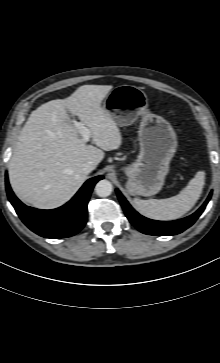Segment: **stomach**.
Returning <instances> with one entry per match:
<instances>
[{"mask_svg": "<svg viewBox=\"0 0 220 363\" xmlns=\"http://www.w3.org/2000/svg\"><path fill=\"white\" fill-rule=\"evenodd\" d=\"M102 108L118 126L133 124L139 117L140 153L130 165L122 168L128 177L126 188L132 195L152 196L163 187L170 161L177 148L174 129L163 117L148 110V98L143 90L132 85H120L106 96Z\"/></svg>", "mask_w": 220, "mask_h": 363, "instance_id": "stomach-1", "label": "stomach"}]
</instances>
